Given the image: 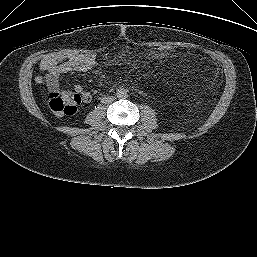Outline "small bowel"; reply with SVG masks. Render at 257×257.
<instances>
[{
	"label": "small bowel",
	"instance_id": "small-bowel-1",
	"mask_svg": "<svg viewBox=\"0 0 257 257\" xmlns=\"http://www.w3.org/2000/svg\"><path fill=\"white\" fill-rule=\"evenodd\" d=\"M95 65L96 57L93 54H48L40 62L39 68L43 75L36 76V82L45 83L49 91H58L61 75L71 72H86L94 68ZM74 89L83 95L85 101L91 99L90 93L82 86L75 85Z\"/></svg>",
	"mask_w": 257,
	"mask_h": 257
}]
</instances>
